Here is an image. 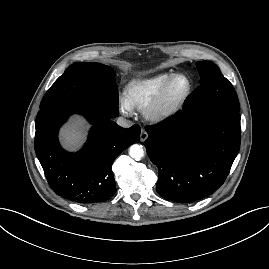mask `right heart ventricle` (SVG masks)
<instances>
[{"label": "right heart ventricle", "instance_id": "1", "mask_svg": "<svg viewBox=\"0 0 269 269\" xmlns=\"http://www.w3.org/2000/svg\"><path fill=\"white\" fill-rule=\"evenodd\" d=\"M172 73L131 80L125 87V99L133 109L144 110Z\"/></svg>", "mask_w": 269, "mask_h": 269}]
</instances>
